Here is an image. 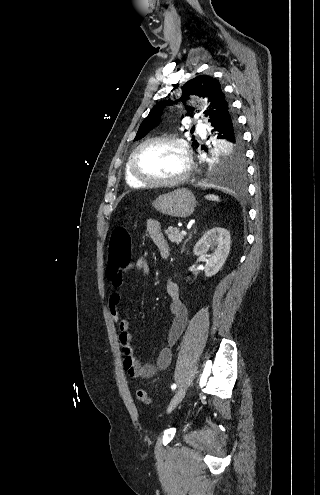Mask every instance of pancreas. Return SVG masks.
Segmentation results:
<instances>
[{
    "label": "pancreas",
    "mask_w": 320,
    "mask_h": 495,
    "mask_svg": "<svg viewBox=\"0 0 320 495\" xmlns=\"http://www.w3.org/2000/svg\"><path fill=\"white\" fill-rule=\"evenodd\" d=\"M165 233L168 235L169 240L175 244L181 243L183 239L178 227L169 226L165 229Z\"/></svg>",
    "instance_id": "obj_1"
}]
</instances>
